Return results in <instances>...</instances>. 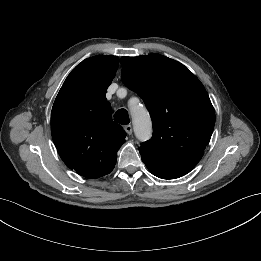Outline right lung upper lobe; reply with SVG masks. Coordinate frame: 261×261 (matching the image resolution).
Instances as JSON below:
<instances>
[{
  "label": "right lung upper lobe",
  "instance_id": "right-lung-upper-lobe-1",
  "mask_svg": "<svg viewBox=\"0 0 261 261\" xmlns=\"http://www.w3.org/2000/svg\"><path fill=\"white\" fill-rule=\"evenodd\" d=\"M119 65L116 56H94L68 75L53 104L51 133L68 168L87 178L110 173L126 133L112 120L105 94Z\"/></svg>",
  "mask_w": 261,
  "mask_h": 261
}]
</instances>
